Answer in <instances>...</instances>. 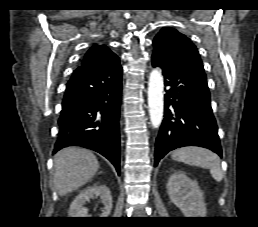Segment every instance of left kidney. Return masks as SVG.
I'll list each match as a JSON object with an SVG mask.
<instances>
[{"label":"left kidney","mask_w":258,"mask_h":227,"mask_svg":"<svg viewBox=\"0 0 258 227\" xmlns=\"http://www.w3.org/2000/svg\"><path fill=\"white\" fill-rule=\"evenodd\" d=\"M170 200L185 217H206L207 209L203 192L198 183L191 180L184 172H176L167 183Z\"/></svg>","instance_id":"left-kidney-1"}]
</instances>
